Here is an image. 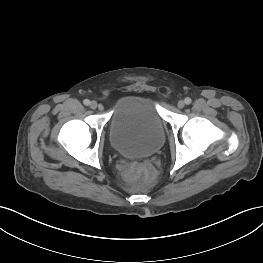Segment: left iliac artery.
Listing matches in <instances>:
<instances>
[{
	"label": "left iliac artery",
	"instance_id": "obj_1",
	"mask_svg": "<svg viewBox=\"0 0 263 263\" xmlns=\"http://www.w3.org/2000/svg\"><path fill=\"white\" fill-rule=\"evenodd\" d=\"M184 101L188 105L192 102L191 98H189V97H186Z\"/></svg>",
	"mask_w": 263,
	"mask_h": 263
}]
</instances>
